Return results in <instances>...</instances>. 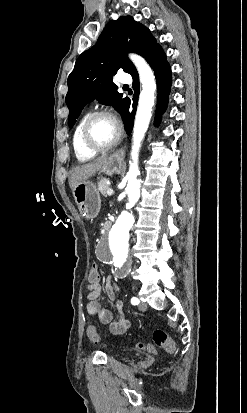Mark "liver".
<instances>
[{
  "mask_svg": "<svg viewBox=\"0 0 247 413\" xmlns=\"http://www.w3.org/2000/svg\"><path fill=\"white\" fill-rule=\"evenodd\" d=\"M106 158L107 154H105V156H99V158H94L91 162H86V164H81V166H75L69 176V184L72 190H74L79 182H84V180H88L90 176H93L96 170L101 168L103 162H106Z\"/></svg>",
  "mask_w": 247,
  "mask_h": 413,
  "instance_id": "1",
  "label": "liver"
}]
</instances>
